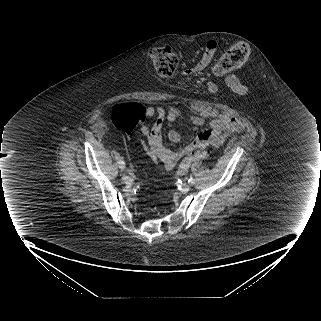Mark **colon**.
<instances>
[{
	"label": "colon",
	"instance_id": "obj_1",
	"mask_svg": "<svg viewBox=\"0 0 321 321\" xmlns=\"http://www.w3.org/2000/svg\"><path fill=\"white\" fill-rule=\"evenodd\" d=\"M149 60L156 73L164 78L172 77L178 68L179 57L176 52L169 46L153 48L148 54ZM249 57V48L244 43H238L231 47L224 55L214 64L212 73L217 77H222L233 70L241 67ZM146 108L139 102L128 101L118 104L113 111L114 125L124 131L132 132L140 126L146 119ZM211 134L204 131L196 139L198 149L186 156L177 169L178 175L185 174L191 164L197 160L208 157V152L204 149L210 143Z\"/></svg>",
	"mask_w": 321,
	"mask_h": 321
}]
</instances>
